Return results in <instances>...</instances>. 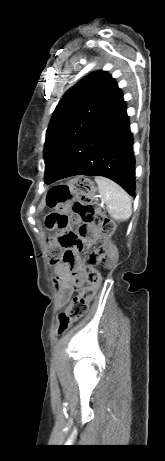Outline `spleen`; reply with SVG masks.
<instances>
[{"mask_svg": "<svg viewBox=\"0 0 165 461\" xmlns=\"http://www.w3.org/2000/svg\"><path fill=\"white\" fill-rule=\"evenodd\" d=\"M95 181L110 216L117 221L129 219L132 214V201L129 194L108 178L96 176Z\"/></svg>", "mask_w": 165, "mask_h": 461, "instance_id": "spleen-1", "label": "spleen"}]
</instances>
